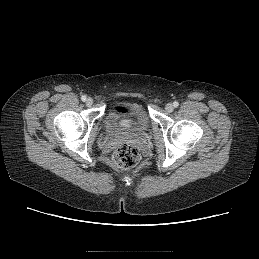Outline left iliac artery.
<instances>
[{
	"mask_svg": "<svg viewBox=\"0 0 259 259\" xmlns=\"http://www.w3.org/2000/svg\"><path fill=\"white\" fill-rule=\"evenodd\" d=\"M173 106H174V107H178V106H179V103H178L177 101H175V102L173 103Z\"/></svg>",
	"mask_w": 259,
	"mask_h": 259,
	"instance_id": "left-iliac-artery-1",
	"label": "left iliac artery"
}]
</instances>
